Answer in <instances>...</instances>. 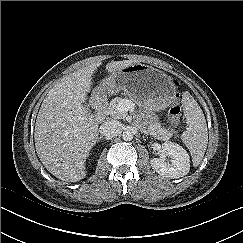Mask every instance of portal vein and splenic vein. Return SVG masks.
<instances>
[{
	"mask_svg": "<svg viewBox=\"0 0 243 243\" xmlns=\"http://www.w3.org/2000/svg\"><path fill=\"white\" fill-rule=\"evenodd\" d=\"M133 106H134V105H133V103H132L131 101L126 100L125 102L120 103V104L118 105L117 109H118L120 112H126V111L132 109Z\"/></svg>",
	"mask_w": 243,
	"mask_h": 243,
	"instance_id": "portal-vein-and-splenic-vein-1",
	"label": "portal vein and splenic vein"
}]
</instances>
